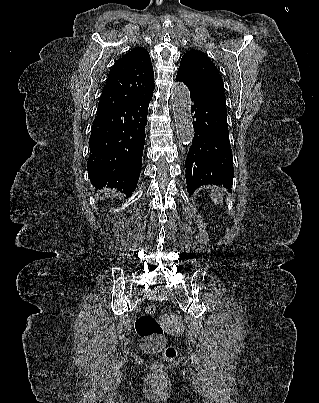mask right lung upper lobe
Segmentation results:
<instances>
[{"mask_svg":"<svg viewBox=\"0 0 319 403\" xmlns=\"http://www.w3.org/2000/svg\"><path fill=\"white\" fill-rule=\"evenodd\" d=\"M154 72L148 51L136 47L119 58L104 86L97 113L153 96Z\"/></svg>","mask_w":319,"mask_h":403,"instance_id":"obj_1","label":"right lung upper lobe"}]
</instances>
